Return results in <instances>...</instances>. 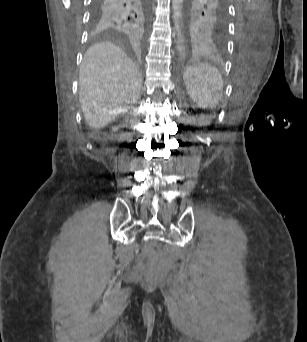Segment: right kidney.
Returning a JSON list of instances; mask_svg holds the SVG:
<instances>
[{
    "label": "right kidney",
    "instance_id": "obj_1",
    "mask_svg": "<svg viewBox=\"0 0 307 342\" xmlns=\"http://www.w3.org/2000/svg\"><path fill=\"white\" fill-rule=\"evenodd\" d=\"M113 132H116V128H114Z\"/></svg>",
    "mask_w": 307,
    "mask_h": 342
}]
</instances>
